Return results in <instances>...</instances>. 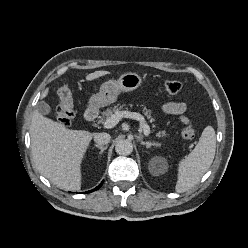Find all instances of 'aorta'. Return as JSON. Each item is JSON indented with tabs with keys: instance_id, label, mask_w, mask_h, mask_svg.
<instances>
[{
	"instance_id": "obj_1",
	"label": "aorta",
	"mask_w": 248,
	"mask_h": 248,
	"mask_svg": "<svg viewBox=\"0 0 248 248\" xmlns=\"http://www.w3.org/2000/svg\"><path fill=\"white\" fill-rule=\"evenodd\" d=\"M115 151L119 155H123V156L130 155L133 151V144L131 141L127 139L119 140L116 143Z\"/></svg>"
}]
</instances>
